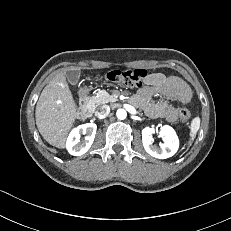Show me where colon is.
Instances as JSON below:
<instances>
[{"label": "colon", "mask_w": 231, "mask_h": 231, "mask_svg": "<svg viewBox=\"0 0 231 231\" xmlns=\"http://www.w3.org/2000/svg\"><path fill=\"white\" fill-rule=\"evenodd\" d=\"M148 75V72L144 69H127L110 71L101 78L124 87L139 88L146 84ZM178 114L182 123H186L190 119V112L185 107H180Z\"/></svg>", "instance_id": "colon-1"}]
</instances>
